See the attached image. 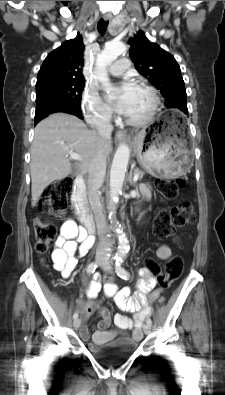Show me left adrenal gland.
<instances>
[{
  "label": "left adrenal gland",
  "mask_w": 225,
  "mask_h": 395,
  "mask_svg": "<svg viewBox=\"0 0 225 395\" xmlns=\"http://www.w3.org/2000/svg\"><path fill=\"white\" fill-rule=\"evenodd\" d=\"M129 181H130L131 186H135V182H133V180H132V170L130 171V174H129Z\"/></svg>",
  "instance_id": "1"
}]
</instances>
